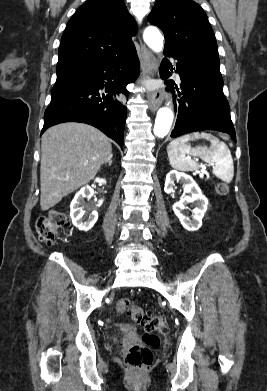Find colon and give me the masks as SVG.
<instances>
[{
    "instance_id": "5ec220e1",
    "label": "colon",
    "mask_w": 267,
    "mask_h": 391,
    "mask_svg": "<svg viewBox=\"0 0 267 391\" xmlns=\"http://www.w3.org/2000/svg\"><path fill=\"white\" fill-rule=\"evenodd\" d=\"M217 192L221 195L227 194V184L218 183ZM68 224L69 217L65 212L53 210L37 219L36 229L42 241L52 243L57 240L60 231ZM115 312L117 314H129L143 329L141 341L128 344L124 348L126 369L133 372L147 370L153 362V351L159 347V335H165L169 331L166 318L146 312L129 299H120L115 305Z\"/></svg>"
}]
</instances>
